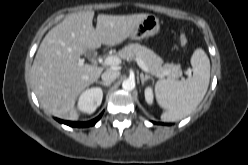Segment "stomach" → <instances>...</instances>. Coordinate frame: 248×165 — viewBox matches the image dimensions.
Segmentation results:
<instances>
[{
	"mask_svg": "<svg viewBox=\"0 0 248 165\" xmlns=\"http://www.w3.org/2000/svg\"><path fill=\"white\" fill-rule=\"evenodd\" d=\"M160 30L159 19L152 14H148L141 23L135 28L130 35L133 40H141L143 38L154 36Z\"/></svg>",
	"mask_w": 248,
	"mask_h": 165,
	"instance_id": "stomach-1",
	"label": "stomach"
}]
</instances>
